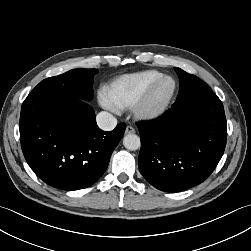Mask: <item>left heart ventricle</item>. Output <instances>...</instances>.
<instances>
[{"label":"left heart ventricle","mask_w":251,"mask_h":251,"mask_svg":"<svg viewBox=\"0 0 251 251\" xmlns=\"http://www.w3.org/2000/svg\"><path fill=\"white\" fill-rule=\"evenodd\" d=\"M172 89V82L171 80H165L163 81L160 86L157 88L153 95L152 101L154 103H160L162 102L170 93Z\"/></svg>","instance_id":"1"}]
</instances>
